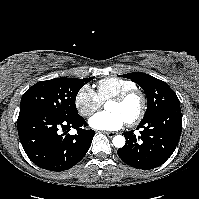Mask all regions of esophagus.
<instances>
[{"label":"esophagus","instance_id":"1","mask_svg":"<svg viewBox=\"0 0 199 199\" xmlns=\"http://www.w3.org/2000/svg\"><path fill=\"white\" fill-rule=\"evenodd\" d=\"M105 134L108 136V137H113L116 135L115 132H105Z\"/></svg>","mask_w":199,"mask_h":199}]
</instances>
